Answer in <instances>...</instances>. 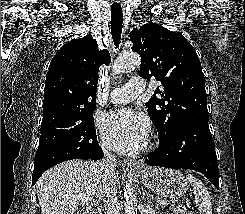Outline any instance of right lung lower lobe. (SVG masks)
I'll list each match as a JSON object with an SVG mask.
<instances>
[{
	"mask_svg": "<svg viewBox=\"0 0 245 214\" xmlns=\"http://www.w3.org/2000/svg\"><path fill=\"white\" fill-rule=\"evenodd\" d=\"M87 153H88V156L86 159H91V160H98V159L103 158L104 156L103 151L101 147L98 145V143L92 148H90ZM45 170L47 169H40V170L34 169L33 174H32V185H35V183L37 182V180L39 179V177L42 175V173Z\"/></svg>",
	"mask_w": 245,
	"mask_h": 214,
	"instance_id": "obj_1",
	"label": "right lung lower lobe"
}]
</instances>
